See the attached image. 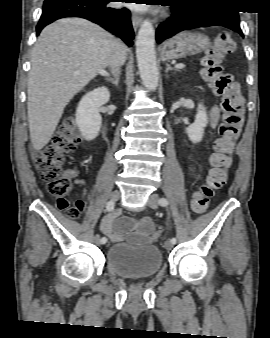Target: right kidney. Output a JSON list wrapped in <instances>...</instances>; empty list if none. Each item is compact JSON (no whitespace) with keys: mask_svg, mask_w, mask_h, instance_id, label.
Masks as SVG:
<instances>
[{"mask_svg":"<svg viewBox=\"0 0 270 338\" xmlns=\"http://www.w3.org/2000/svg\"><path fill=\"white\" fill-rule=\"evenodd\" d=\"M110 99L106 87H98L82 97L76 110V124L86 140L95 139L100 131L102 118L99 108Z\"/></svg>","mask_w":270,"mask_h":338,"instance_id":"right-kidney-1","label":"right kidney"}]
</instances>
